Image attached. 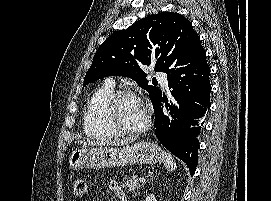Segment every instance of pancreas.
I'll list each match as a JSON object with an SVG mask.
<instances>
[{
  "mask_svg": "<svg viewBox=\"0 0 271 201\" xmlns=\"http://www.w3.org/2000/svg\"><path fill=\"white\" fill-rule=\"evenodd\" d=\"M121 187L125 190L127 189L128 191H135L137 188H140V181L133 176L132 178L126 180V182L121 183Z\"/></svg>",
  "mask_w": 271,
  "mask_h": 201,
  "instance_id": "cf45deb5",
  "label": "pancreas"
}]
</instances>
